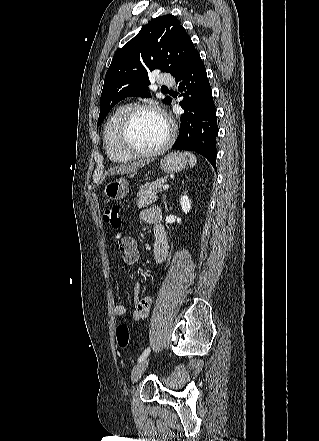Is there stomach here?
<instances>
[{"mask_svg":"<svg viewBox=\"0 0 319 441\" xmlns=\"http://www.w3.org/2000/svg\"><path fill=\"white\" fill-rule=\"evenodd\" d=\"M187 158L183 153L173 152L161 160V170L167 173L179 172L186 167ZM129 183L125 177L114 179L104 187L103 194L108 200L123 199L129 193Z\"/></svg>","mask_w":319,"mask_h":441,"instance_id":"0dacf381","label":"stomach"}]
</instances>
